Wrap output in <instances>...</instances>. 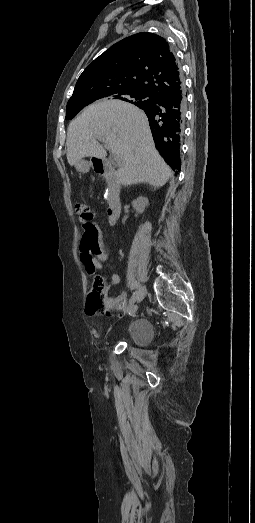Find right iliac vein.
<instances>
[{
    "instance_id": "63e3f726",
    "label": "right iliac vein",
    "mask_w": 255,
    "mask_h": 523,
    "mask_svg": "<svg viewBox=\"0 0 255 523\" xmlns=\"http://www.w3.org/2000/svg\"><path fill=\"white\" fill-rule=\"evenodd\" d=\"M145 294H146V288H145V287H141V288L137 291V297H136L135 302H137V303L141 302V301L144 299Z\"/></svg>"
}]
</instances>
